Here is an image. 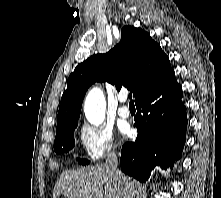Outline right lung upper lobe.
<instances>
[{
    "mask_svg": "<svg viewBox=\"0 0 221 198\" xmlns=\"http://www.w3.org/2000/svg\"><path fill=\"white\" fill-rule=\"evenodd\" d=\"M172 68L169 58L142 29L124 26L121 40L106 54L80 63L67 80L57 116L56 134L77 127L84 95L95 82H109L131 90L136 100Z\"/></svg>",
    "mask_w": 221,
    "mask_h": 198,
    "instance_id": "obj_1",
    "label": "right lung upper lobe"
}]
</instances>
